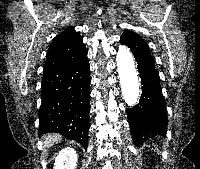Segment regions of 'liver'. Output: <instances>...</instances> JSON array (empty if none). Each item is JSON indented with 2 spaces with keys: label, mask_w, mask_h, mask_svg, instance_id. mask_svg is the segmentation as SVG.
I'll use <instances>...</instances> for the list:
<instances>
[{
  "label": "liver",
  "mask_w": 200,
  "mask_h": 169,
  "mask_svg": "<svg viewBox=\"0 0 200 169\" xmlns=\"http://www.w3.org/2000/svg\"><path fill=\"white\" fill-rule=\"evenodd\" d=\"M43 143L45 147H51L52 145L60 142L62 140V136L59 134H48L42 137Z\"/></svg>",
  "instance_id": "liver-1"
}]
</instances>
